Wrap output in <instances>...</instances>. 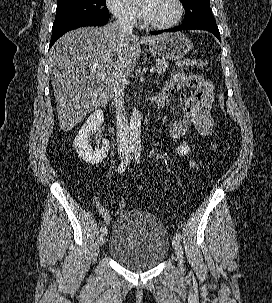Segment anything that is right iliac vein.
<instances>
[{"instance_id": "63e3f726", "label": "right iliac vein", "mask_w": 272, "mask_h": 303, "mask_svg": "<svg viewBox=\"0 0 272 303\" xmlns=\"http://www.w3.org/2000/svg\"><path fill=\"white\" fill-rule=\"evenodd\" d=\"M106 237H107V229L102 231L100 234V238H99L100 245H103L105 243Z\"/></svg>"}]
</instances>
